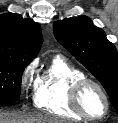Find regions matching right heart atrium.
<instances>
[{
    "label": "right heart atrium",
    "mask_w": 118,
    "mask_h": 123,
    "mask_svg": "<svg viewBox=\"0 0 118 123\" xmlns=\"http://www.w3.org/2000/svg\"><path fill=\"white\" fill-rule=\"evenodd\" d=\"M35 73H36V64L31 62L23 69L21 73L20 84L22 89H27L29 86L35 83Z\"/></svg>",
    "instance_id": "obj_1"
}]
</instances>
